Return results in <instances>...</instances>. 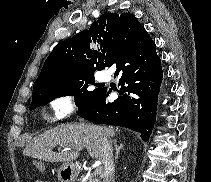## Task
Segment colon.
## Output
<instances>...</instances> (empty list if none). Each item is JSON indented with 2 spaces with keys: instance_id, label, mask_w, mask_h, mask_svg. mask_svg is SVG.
Listing matches in <instances>:
<instances>
[{
  "instance_id": "colon-1",
  "label": "colon",
  "mask_w": 211,
  "mask_h": 182,
  "mask_svg": "<svg viewBox=\"0 0 211 182\" xmlns=\"http://www.w3.org/2000/svg\"><path fill=\"white\" fill-rule=\"evenodd\" d=\"M38 182H47V181L40 180V181H38Z\"/></svg>"
}]
</instances>
